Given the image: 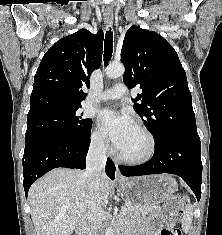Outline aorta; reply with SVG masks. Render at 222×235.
Returning <instances> with one entry per match:
<instances>
[{
	"instance_id": "1",
	"label": "aorta",
	"mask_w": 222,
	"mask_h": 235,
	"mask_svg": "<svg viewBox=\"0 0 222 235\" xmlns=\"http://www.w3.org/2000/svg\"><path fill=\"white\" fill-rule=\"evenodd\" d=\"M125 72V67L121 63H112L106 68V75L109 78H117L123 76ZM105 235H114V232L111 227L107 228Z\"/></svg>"
}]
</instances>
